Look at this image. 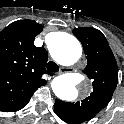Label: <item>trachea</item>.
Here are the masks:
<instances>
[{
	"label": "trachea",
	"mask_w": 124,
	"mask_h": 124,
	"mask_svg": "<svg viewBox=\"0 0 124 124\" xmlns=\"http://www.w3.org/2000/svg\"><path fill=\"white\" fill-rule=\"evenodd\" d=\"M47 69L51 72H58L59 66L55 62L49 61L47 64Z\"/></svg>",
	"instance_id": "trachea-1"
}]
</instances>
